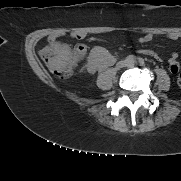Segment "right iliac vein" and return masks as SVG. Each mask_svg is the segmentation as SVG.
I'll return each instance as SVG.
<instances>
[{
    "label": "right iliac vein",
    "instance_id": "63e3f726",
    "mask_svg": "<svg viewBox=\"0 0 181 181\" xmlns=\"http://www.w3.org/2000/svg\"><path fill=\"white\" fill-rule=\"evenodd\" d=\"M125 66H126V62L125 61H120L116 65L117 69H121V68H123Z\"/></svg>",
    "mask_w": 181,
    "mask_h": 181
}]
</instances>
